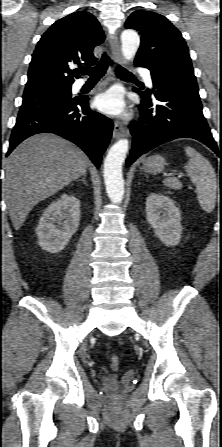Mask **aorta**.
Masks as SVG:
<instances>
[{"label":"aorta","instance_id":"762f6f07","mask_svg":"<svg viewBox=\"0 0 222 447\" xmlns=\"http://www.w3.org/2000/svg\"><path fill=\"white\" fill-rule=\"evenodd\" d=\"M121 50L126 60L132 61L140 45L136 31L125 30L121 34ZM129 149L128 139H120L112 145L104 160V182L110 200L120 204L124 197L122 165Z\"/></svg>","mask_w":222,"mask_h":447}]
</instances>
